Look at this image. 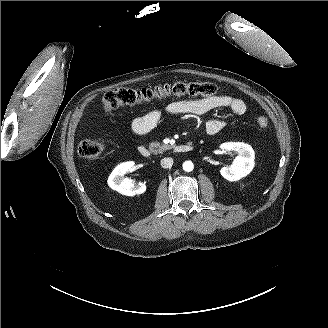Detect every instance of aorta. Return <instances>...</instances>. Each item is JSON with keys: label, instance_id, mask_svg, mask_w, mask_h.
Returning <instances> with one entry per match:
<instances>
[{"label": "aorta", "instance_id": "aorta-1", "mask_svg": "<svg viewBox=\"0 0 328 328\" xmlns=\"http://www.w3.org/2000/svg\"><path fill=\"white\" fill-rule=\"evenodd\" d=\"M194 169V165L191 161H185L183 163V170L186 172H190Z\"/></svg>", "mask_w": 328, "mask_h": 328}]
</instances>
